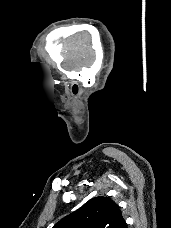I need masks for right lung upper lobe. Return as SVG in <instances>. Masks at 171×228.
I'll return each instance as SVG.
<instances>
[{"mask_svg": "<svg viewBox=\"0 0 171 228\" xmlns=\"http://www.w3.org/2000/svg\"><path fill=\"white\" fill-rule=\"evenodd\" d=\"M53 228H127L119 206L108 197H95Z\"/></svg>", "mask_w": 171, "mask_h": 228, "instance_id": "obj_1", "label": "right lung upper lobe"}]
</instances>
